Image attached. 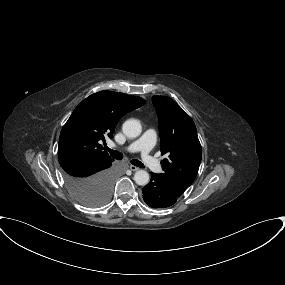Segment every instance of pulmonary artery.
<instances>
[{
	"instance_id": "obj_1",
	"label": "pulmonary artery",
	"mask_w": 285,
	"mask_h": 285,
	"mask_svg": "<svg viewBox=\"0 0 285 285\" xmlns=\"http://www.w3.org/2000/svg\"><path fill=\"white\" fill-rule=\"evenodd\" d=\"M156 132L153 128H148L137 140L128 145H113L117 150L123 152H139L142 163L153 172H160V163L152 156L151 151L154 146Z\"/></svg>"
}]
</instances>
